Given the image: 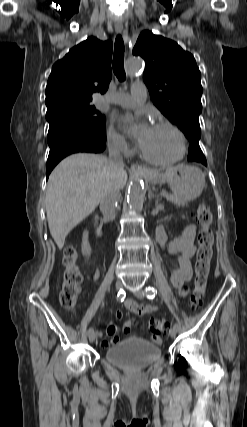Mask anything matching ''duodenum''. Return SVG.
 Listing matches in <instances>:
<instances>
[{
	"label": "duodenum",
	"mask_w": 247,
	"mask_h": 427,
	"mask_svg": "<svg viewBox=\"0 0 247 427\" xmlns=\"http://www.w3.org/2000/svg\"><path fill=\"white\" fill-rule=\"evenodd\" d=\"M93 225H94V230H95L96 235L101 236L102 235V228L100 226L99 217L97 215L94 216Z\"/></svg>",
	"instance_id": "duodenum-1"
}]
</instances>
